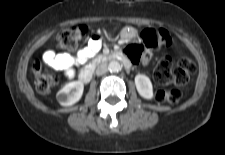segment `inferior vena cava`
<instances>
[{"label":"inferior vena cava","instance_id":"1","mask_svg":"<svg viewBox=\"0 0 225 155\" xmlns=\"http://www.w3.org/2000/svg\"><path fill=\"white\" fill-rule=\"evenodd\" d=\"M107 72V65L106 64H100L97 68H96V75L100 76L103 75Z\"/></svg>","mask_w":225,"mask_h":155}]
</instances>
